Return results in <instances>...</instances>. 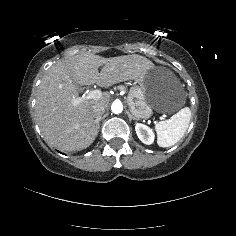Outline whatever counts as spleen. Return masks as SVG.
<instances>
[{
	"mask_svg": "<svg viewBox=\"0 0 236 236\" xmlns=\"http://www.w3.org/2000/svg\"><path fill=\"white\" fill-rule=\"evenodd\" d=\"M191 120V109L184 107L171 119L157 124L158 144L169 147L176 144L185 134Z\"/></svg>",
	"mask_w": 236,
	"mask_h": 236,
	"instance_id": "obj_1",
	"label": "spleen"
}]
</instances>
